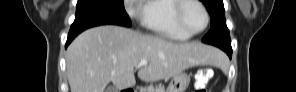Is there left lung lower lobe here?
<instances>
[{"label": "left lung lower lobe", "instance_id": "obj_1", "mask_svg": "<svg viewBox=\"0 0 296 92\" xmlns=\"http://www.w3.org/2000/svg\"><path fill=\"white\" fill-rule=\"evenodd\" d=\"M221 49L224 50L231 58V56H232V48L231 47H222Z\"/></svg>", "mask_w": 296, "mask_h": 92}]
</instances>
